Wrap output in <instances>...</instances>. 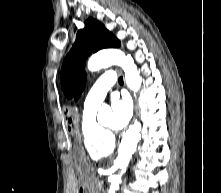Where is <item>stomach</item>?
Here are the masks:
<instances>
[{
  "label": "stomach",
  "instance_id": "0dacf381",
  "mask_svg": "<svg viewBox=\"0 0 221 193\" xmlns=\"http://www.w3.org/2000/svg\"><path fill=\"white\" fill-rule=\"evenodd\" d=\"M63 110L62 123L65 130H68L66 137L70 142H67V152L72 155L70 159V167H77L78 177H82L79 182V187L76 193H94L93 180L95 165L91 162H85L87 154H84V142H79L83 137L79 133L80 118L77 107L74 104H61Z\"/></svg>",
  "mask_w": 221,
  "mask_h": 193
}]
</instances>
